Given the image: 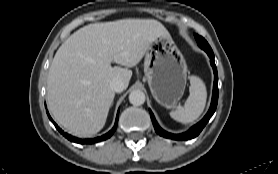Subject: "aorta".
Returning a JSON list of instances; mask_svg holds the SVG:
<instances>
[{
    "label": "aorta",
    "instance_id": "762f6f07",
    "mask_svg": "<svg viewBox=\"0 0 278 174\" xmlns=\"http://www.w3.org/2000/svg\"><path fill=\"white\" fill-rule=\"evenodd\" d=\"M129 102L135 106H140V105L144 104V102H145L144 92L141 90H133L129 94Z\"/></svg>",
    "mask_w": 278,
    "mask_h": 174
}]
</instances>
